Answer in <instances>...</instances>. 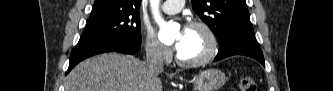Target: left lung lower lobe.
Returning <instances> with one entry per match:
<instances>
[{
  "label": "left lung lower lobe",
  "instance_id": "obj_1",
  "mask_svg": "<svg viewBox=\"0 0 333 91\" xmlns=\"http://www.w3.org/2000/svg\"><path fill=\"white\" fill-rule=\"evenodd\" d=\"M219 43V51L214 61L233 55H245L258 60L265 66L263 53L255 39L253 29L233 32Z\"/></svg>",
  "mask_w": 333,
  "mask_h": 91
}]
</instances>
